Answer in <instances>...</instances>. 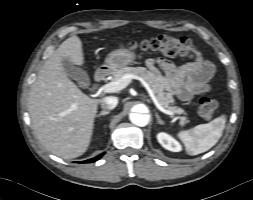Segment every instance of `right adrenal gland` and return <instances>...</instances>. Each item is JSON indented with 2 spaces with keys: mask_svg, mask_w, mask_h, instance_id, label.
I'll list each match as a JSON object with an SVG mask.
<instances>
[{
  "mask_svg": "<svg viewBox=\"0 0 253 200\" xmlns=\"http://www.w3.org/2000/svg\"><path fill=\"white\" fill-rule=\"evenodd\" d=\"M110 113V111H101L98 115H97V117H101V116H103V115H108Z\"/></svg>",
  "mask_w": 253,
  "mask_h": 200,
  "instance_id": "1",
  "label": "right adrenal gland"
}]
</instances>
